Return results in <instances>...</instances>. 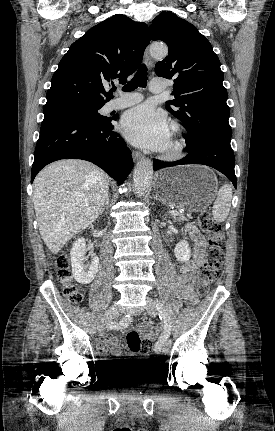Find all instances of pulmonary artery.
I'll return each instance as SVG.
<instances>
[{
  "mask_svg": "<svg viewBox=\"0 0 275 431\" xmlns=\"http://www.w3.org/2000/svg\"><path fill=\"white\" fill-rule=\"evenodd\" d=\"M164 88H165L164 83L161 80L154 79L150 83V91L153 93H160L164 90ZM142 99L143 97L138 93L126 94L121 96L120 98L111 100L107 104V109L111 111V110L129 107L140 102Z\"/></svg>",
  "mask_w": 275,
  "mask_h": 431,
  "instance_id": "e3ab8cb5",
  "label": "pulmonary artery"
}]
</instances>
